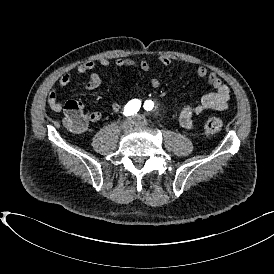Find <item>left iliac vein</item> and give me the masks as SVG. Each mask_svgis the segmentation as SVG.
Listing matches in <instances>:
<instances>
[{
  "label": "left iliac vein",
  "instance_id": "1",
  "mask_svg": "<svg viewBox=\"0 0 274 274\" xmlns=\"http://www.w3.org/2000/svg\"><path fill=\"white\" fill-rule=\"evenodd\" d=\"M135 125L138 126V127H145V126L148 125V122L143 116L138 115L135 118Z\"/></svg>",
  "mask_w": 274,
  "mask_h": 274
}]
</instances>
